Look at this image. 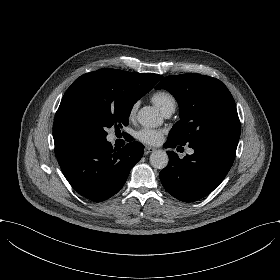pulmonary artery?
<instances>
[{
  "mask_svg": "<svg viewBox=\"0 0 280 280\" xmlns=\"http://www.w3.org/2000/svg\"><path fill=\"white\" fill-rule=\"evenodd\" d=\"M172 113H173V111H168V112L165 113V116H166V117H169L170 115H172ZM193 152H194V150H193L192 148H187V149H186V153H187L188 155L193 154Z\"/></svg>",
  "mask_w": 280,
  "mask_h": 280,
  "instance_id": "1",
  "label": "pulmonary artery"
}]
</instances>
